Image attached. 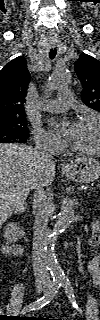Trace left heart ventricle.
Here are the masks:
<instances>
[{
    "label": "left heart ventricle",
    "mask_w": 100,
    "mask_h": 320,
    "mask_svg": "<svg viewBox=\"0 0 100 320\" xmlns=\"http://www.w3.org/2000/svg\"><path fill=\"white\" fill-rule=\"evenodd\" d=\"M69 142L82 149L95 148L98 141V124L93 120L76 123L68 131Z\"/></svg>",
    "instance_id": "1"
}]
</instances>
